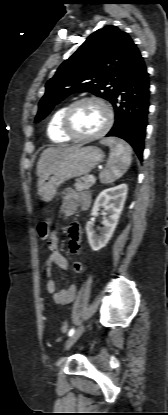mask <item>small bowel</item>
<instances>
[{
  "label": "small bowel",
  "mask_w": 168,
  "mask_h": 415,
  "mask_svg": "<svg viewBox=\"0 0 168 415\" xmlns=\"http://www.w3.org/2000/svg\"><path fill=\"white\" fill-rule=\"evenodd\" d=\"M91 199L87 192H77L71 188H67L62 193V207L61 215L69 216L74 213L78 208L87 210L90 206ZM67 232L70 240V249L72 253H77L81 246V228L78 223L72 222L67 227ZM48 249L50 251L49 256L46 258L43 264V271L46 277L47 291L52 295L53 301L57 305L65 306L70 304L76 295V286L72 285L67 290H58L53 279V267L57 266L63 270H67L69 267L67 259L59 251V242L57 235L54 231H51L46 238ZM73 268L76 272H81L84 269L83 263L76 261L73 264Z\"/></svg>",
  "instance_id": "small-bowel-1"
}]
</instances>
